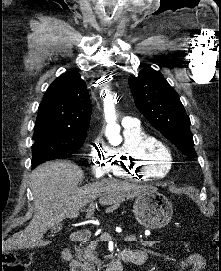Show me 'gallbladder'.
Listing matches in <instances>:
<instances>
[{"label": "gallbladder", "instance_id": "1", "mask_svg": "<svg viewBox=\"0 0 221 271\" xmlns=\"http://www.w3.org/2000/svg\"><path fill=\"white\" fill-rule=\"evenodd\" d=\"M61 229H62L61 223H58V225H52V227H50L51 233H58V231H61Z\"/></svg>", "mask_w": 221, "mask_h": 271}]
</instances>
